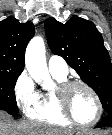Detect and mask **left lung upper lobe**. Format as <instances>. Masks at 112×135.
<instances>
[{"label": "left lung upper lobe", "instance_id": "5c2ea615", "mask_svg": "<svg viewBox=\"0 0 112 135\" xmlns=\"http://www.w3.org/2000/svg\"><path fill=\"white\" fill-rule=\"evenodd\" d=\"M45 30L51 51L76 70L97 93L106 113H112V64L94 23L73 16L63 24L51 17Z\"/></svg>", "mask_w": 112, "mask_h": 135}]
</instances>
